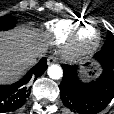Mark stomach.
Listing matches in <instances>:
<instances>
[{"label": "stomach", "mask_w": 114, "mask_h": 114, "mask_svg": "<svg viewBox=\"0 0 114 114\" xmlns=\"http://www.w3.org/2000/svg\"><path fill=\"white\" fill-rule=\"evenodd\" d=\"M81 73L84 76H89V74L97 75L99 73V68L96 64H92L89 68L83 69Z\"/></svg>", "instance_id": "1"}]
</instances>
